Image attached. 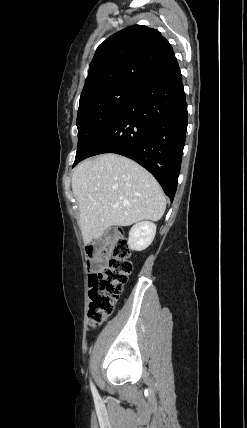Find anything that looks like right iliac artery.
Segmentation results:
<instances>
[{
  "instance_id": "1",
  "label": "right iliac artery",
  "mask_w": 247,
  "mask_h": 428,
  "mask_svg": "<svg viewBox=\"0 0 247 428\" xmlns=\"http://www.w3.org/2000/svg\"><path fill=\"white\" fill-rule=\"evenodd\" d=\"M90 386H91V391H92V393H93V396H94V397H95V396H98L97 390H96V388H95V386L93 385V383H92V382H90Z\"/></svg>"
}]
</instances>
